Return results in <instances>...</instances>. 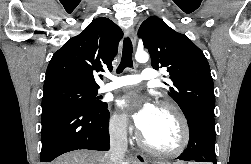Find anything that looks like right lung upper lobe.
I'll use <instances>...</instances> for the list:
<instances>
[{
	"label": "right lung upper lobe",
	"instance_id": "cb5924a9",
	"mask_svg": "<svg viewBox=\"0 0 251 164\" xmlns=\"http://www.w3.org/2000/svg\"><path fill=\"white\" fill-rule=\"evenodd\" d=\"M122 37V30L110 19L93 20L55 52L46 71L44 91L59 87L97 90L95 77L98 72L113 69L112 60Z\"/></svg>",
	"mask_w": 251,
	"mask_h": 164
}]
</instances>
